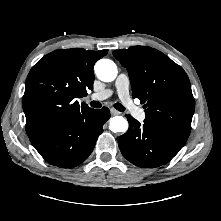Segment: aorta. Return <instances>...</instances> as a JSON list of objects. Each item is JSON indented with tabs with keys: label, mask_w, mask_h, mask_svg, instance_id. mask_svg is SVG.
<instances>
[{
	"label": "aorta",
	"mask_w": 221,
	"mask_h": 221,
	"mask_svg": "<svg viewBox=\"0 0 221 221\" xmlns=\"http://www.w3.org/2000/svg\"><path fill=\"white\" fill-rule=\"evenodd\" d=\"M95 74L103 82H112L116 79L118 70L116 64L109 59H101L95 64ZM109 129L114 132H126L128 122L122 116H115L110 119Z\"/></svg>",
	"instance_id": "762f6f07"
}]
</instances>
